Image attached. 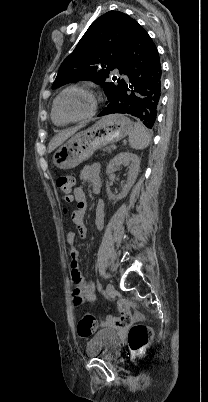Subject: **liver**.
<instances>
[{"label":"liver","mask_w":208,"mask_h":402,"mask_svg":"<svg viewBox=\"0 0 208 402\" xmlns=\"http://www.w3.org/2000/svg\"><path fill=\"white\" fill-rule=\"evenodd\" d=\"M80 128H83V126H76V128H70V130H63V132H60V134H57V136H54L53 140H51L49 144V152H53L55 148H58V146H61V144H64L70 136H73L75 132H78Z\"/></svg>","instance_id":"obj_1"}]
</instances>
